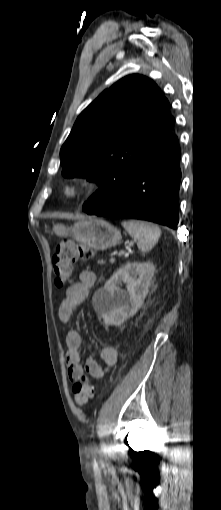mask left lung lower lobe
Here are the masks:
<instances>
[{
	"instance_id": "1",
	"label": "left lung lower lobe",
	"mask_w": 221,
	"mask_h": 510,
	"mask_svg": "<svg viewBox=\"0 0 221 510\" xmlns=\"http://www.w3.org/2000/svg\"><path fill=\"white\" fill-rule=\"evenodd\" d=\"M180 155L176 139L148 156L110 203L97 209L86 202L83 211L90 215L148 220L176 229Z\"/></svg>"
}]
</instances>
